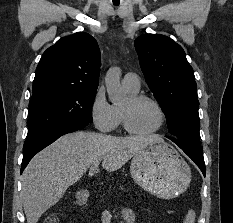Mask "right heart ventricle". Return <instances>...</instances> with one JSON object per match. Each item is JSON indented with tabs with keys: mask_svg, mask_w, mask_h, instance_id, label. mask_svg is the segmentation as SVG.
I'll list each match as a JSON object with an SVG mask.
<instances>
[{
	"mask_svg": "<svg viewBox=\"0 0 233 223\" xmlns=\"http://www.w3.org/2000/svg\"><path fill=\"white\" fill-rule=\"evenodd\" d=\"M126 92L131 96V95H134L136 94L138 91H131V90H127L125 89ZM115 109V112H116V116H117V119H118V125H121L122 124V119H121V108L118 107V106H115L114 107Z\"/></svg>",
	"mask_w": 233,
	"mask_h": 223,
	"instance_id": "1",
	"label": "right heart ventricle"
}]
</instances>
